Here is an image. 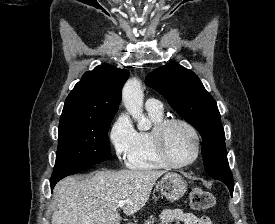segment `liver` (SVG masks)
<instances>
[{
  "instance_id": "obj_1",
  "label": "liver",
  "mask_w": 275,
  "mask_h": 224,
  "mask_svg": "<svg viewBox=\"0 0 275 224\" xmlns=\"http://www.w3.org/2000/svg\"><path fill=\"white\" fill-rule=\"evenodd\" d=\"M158 170L98 171L92 177H67L54 188L51 224H120L118 202L128 215L137 213L148 201Z\"/></svg>"
}]
</instances>
